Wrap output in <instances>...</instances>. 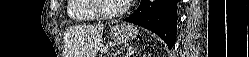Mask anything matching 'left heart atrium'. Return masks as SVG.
Masks as SVG:
<instances>
[{
  "mask_svg": "<svg viewBox=\"0 0 249 57\" xmlns=\"http://www.w3.org/2000/svg\"><path fill=\"white\" fill-rule=\"evenodd\" d=\"M129 1H131V0H125V2H129Z\"/></svg>",
  "mask_w": 249,
  "mask_h": 57,
  "instance_id": "obj_1",
  "label": "left heart atrium"
}]
</instances>
